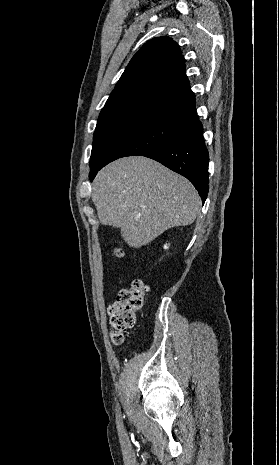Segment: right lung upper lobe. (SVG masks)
Masks as SVG:
<instances>
[{
    "mask_svg": "<svg viewBox=\"0 0 279 465\" xmlns=\"http://www.w3.org/2000/svg\"><path fill=\"white\" fill-rule=\"evenodd\" d=\"M195 112V95L178 44L168 37H157L133 56L96 128L141 120L180 124Z\"/></svg>",
    "mask_w": 279,
    "mask_h": 465,
    "instance_id": "obj_1",
    "label": "right lung upper lobe"
}]
</instances>
